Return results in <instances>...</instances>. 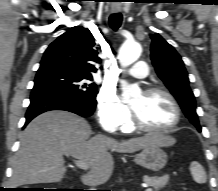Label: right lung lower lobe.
Here are the masks:
<instances>
[{
    "label": "right lung lower lobe",
    "mask_w": 218,
    "mask_h": 191,
    "mask_svg": "<svg viewBox=\"0 0 218 191\" xmlns=\"http://www.w3.org/2000/svg\"><path fill=\"white\" fill-rule=\"evenodd\" d=\"M31 102L26 112L25 126L39 114L50 110H65L83 117H89L94 112L96 103L86 102L54 88L32 90Z\"/></svg>",
    "instance_id": "98d812e1"
}]
</instances>
